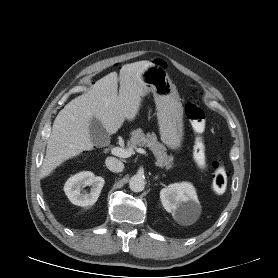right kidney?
<instances>
[{
	"instance_id": "1",
	"label": "right kidney",
	"mask_w": 278,
	"mask_h": 278,
	"mask_svg": "<svg viewBox=\"0 0 278 278\" xmlns=\"http://www.w3.org/2000/svg\"><path fill=\"white\" fill-rule=\"evenodd\" d=\"M105 180L92 172L83 171L70 177L64 186V191L70 202L78 206H89L96 203ZM91 186L90 192H82L83 187Z\"/></svg>"
}]
</instances>
